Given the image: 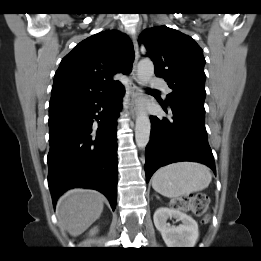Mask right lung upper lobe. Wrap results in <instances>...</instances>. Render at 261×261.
<instances>
[{"label":"right lung upper lobe","instance_id":"cb5924a9","mask_svg":"<svg viewBox=\"0 0 261 261\" xmlns=\"http://www.w3.org/2000/svg\"><path fill=\"white\" fill-rule=\"evenodd\" d=\"M133 44L117 30L97 33L77 44L61 61L54 77L49 108L116 91L117 73L129 74Z\"/></svg>","mask_w":261,"mask_h":261}]
</instances>
